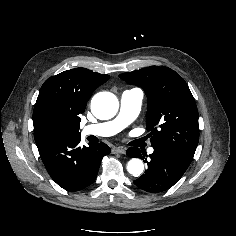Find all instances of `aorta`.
<instances>
[{
    "label": "aorta",
    "mask_w": 236,
    "mask_h": 236,
    "mask_svg": "<svg viewBox=\"0 0 236 236\" xmlns=\"http://www.w3.org/2000/svg\"><path fill=\"white\" fill-rule=\"evenodd\" d=\"M119 103L117 97L110 92L97 93L91 101V110L99 119H110L117 113ZM128 172L139 176L144 170L143 162L138 158L131 159L127 164Z\"/></svg>",
    "instance_id": "obj_1"
}]
</instances>
